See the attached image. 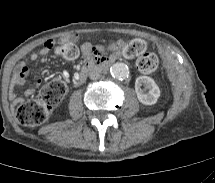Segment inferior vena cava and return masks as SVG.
I'll return each mask as SVG.
<instances>
[{
	"instance_id": "602c4592",
	"label": "inferior vena cava",
	"mask_w": 215,
	"mask_h": 183,
	"mask_svg": "<svg viewBox=\"0 0 215 183\" xmlns=\"http://www.w3.org/2000/svg\"><path fill=\"white\" fill-rule=\"evenodd\" d=\"M89 78H90L91 80H97V79H99V78H100V73H99V71H97V70L91 71V72L89 73Z\"/></svg>"
}]
</instances>
